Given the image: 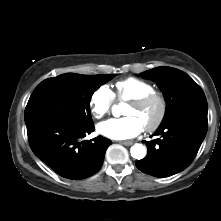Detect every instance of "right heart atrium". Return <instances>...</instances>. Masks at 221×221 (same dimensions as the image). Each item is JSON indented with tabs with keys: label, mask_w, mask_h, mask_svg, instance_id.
<instances>
[{
	"label": "right heart atrium",
	"mask_w": 221,
	"mask_h": 221,
	"mask_svg": "<svg viewBox=\"0 0 221 221\" xmlns=\"http://www.w3.org/2000/svg\"><path fill=\"white\" fill-rule=\"evenodd\" d=\"M114 102V94L108 85L99 86L91 95L90 110L92 115L100 119L111 109Z\"/></svg>",
	"instance_id": "right-heart-atrium-1"
}]
</instances>
